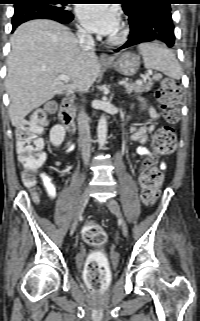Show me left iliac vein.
I'll list each match as a JSON object with an SVG mask.
<instances>
[{"label":"left iliac vein","mask_w":200,"mask_h":321,"mask_svg":"<svg viewBox=\"0 0 200 321\" xmlns=\"http://www.w3.org/2000/svg\"><path fill=\"white\" fill-rule=\"evenodd\" d=\"M107 207L109 208V210L114 215H116L120 219L121 227H122V233H123L124 236H127L128 235V226H127L125 220L122 217L120 206L117 203V201H115L114 199H109L108 202H107Z\"/></svg>","instance_id":"4c4485c4"}]
</instances>
